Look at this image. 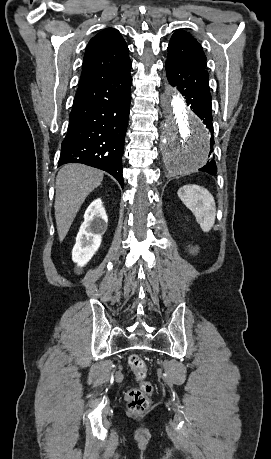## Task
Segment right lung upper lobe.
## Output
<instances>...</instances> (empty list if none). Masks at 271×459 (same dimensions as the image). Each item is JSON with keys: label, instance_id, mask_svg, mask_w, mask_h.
I'll use <instances>...</instances> for the list:
<instances>
[{"label": "right lung upper lobe", "instance_id": "obj_1", "mask_svg": "<svg viewBox=\"0 0 271 459\" xmlns=\"http://www.w3.org/2000/svg\"><path fill=\"white\" fill-rule=\"evenodd\" d=\"M129 49L120 32L108 28L93 37L85 52L76 95L130 72Z\"/></svg>", "mask_w": 271, "mask_h": 459}]
</instances>
